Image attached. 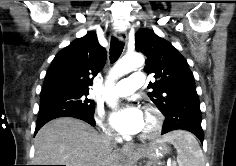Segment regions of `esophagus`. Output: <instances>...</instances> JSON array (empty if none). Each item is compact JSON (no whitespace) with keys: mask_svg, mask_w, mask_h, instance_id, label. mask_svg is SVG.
Returning <instances> with one entry per match:
<instances>
[{"mask_svg":"<svg viewBox=\"0 0 236 166\" xmlns=\"http://www.w3.org/2000/svg\"><path fill=\"white\" fill-rule=\"evenodd\" d=\"M115 36L122 42V43H124L125 44V46H126V44H127V34H126V32H124V31H116L115 32ZM134 149H135V147H134V145L133 144H125V145H123V147H122V151L123 152H132V151H134Z\"/></svg>","mask_w":236,"mask_h":166,"instance_id":"esophagus-1","label":"esophagus"}]
</instances>
